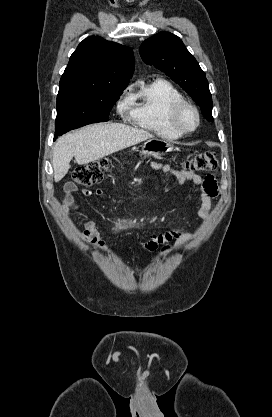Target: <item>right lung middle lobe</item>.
Instances as JSON below:
<instances>
[{"label": "right lung middle lobe", "instance_id": "1", "mask_svg": "<svg viewBox=\"0 0 272 417\" xmlns=\"http://www.w3.org/2000/svg\"><path fill=\"white\" fill-rule=\"evenodd\" d=\"M124 88L98 94L57 98L54 140L69 130L108 121L110 111Z\"/></svg>", "mask_w": 272, "mask_h": 417}]
</instances>
